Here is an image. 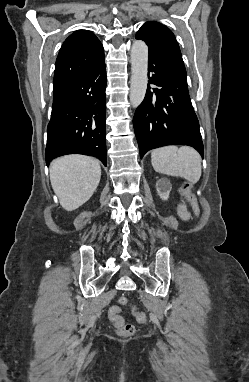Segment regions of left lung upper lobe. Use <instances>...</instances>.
<instances>
[{
    "label": "left lung upper lobe",
    "instance_id": "obj_1",
    "mask_svg": "<svg viewBox=\"0 0 249 382\" xmlns=\"http://www.w3.org/2000/svg\"><path fill=\"white\" fill-rule=\"evenodd\" d=\"M136 39L145 41L149 48V57H153L160 65L187 79L178 42L169 28L159 22L149 21L138 30Z\"/></svg>",
    "mask_w": 249,
    "mask_h": 382
}]
</instances>
